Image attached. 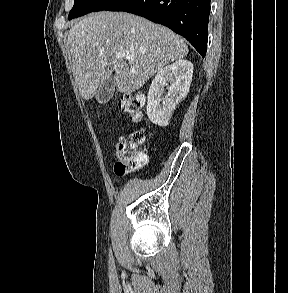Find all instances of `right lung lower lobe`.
<instances>
[{
	"label": "right lung lower lobe",
	"mask_w": 288,
	"mask_h": 293,
	"mask_svg": "<svg viewBox=\"0 0 288 293\" xmlns=\"http://www.w3.org/2000/svg\"><path fill=\"white\" fill-rule=\"evenodd\" d=\"M211 0H118L108 11H125L169 27L204 58Z\"/></svg>",
	"instance_id": "98d812e1"
}]
</instances>
